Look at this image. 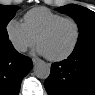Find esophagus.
I'll list each match as a JSON object with an SVG mask.
<instances>
[{"label": "esophagus", "instance_id": "34e87169", "mask_svg": "<svg viewBox=\"0 0 95 95\" xmlns=\"http://www.w3.org/2000/svg\"><path fill=\"white\" fill-rule=\"evenodd\" d=\"M39 61H40V59H38V58H33L32 59L33 64H37Z\"/></svg>", "mask_w": 95, "mask_h": 95}]
</instances>
